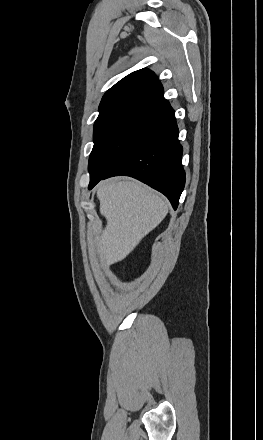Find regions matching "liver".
I'll return each mask as SVG.
<instances>
[{
	"label": "liver",
	"mask_w": 263,
	"mask_h": 440,
	"mask_svg": "<svg viewBox=\"0 0 263 440\" xmlns=\"http://www.w3.org/2000/svg\"><path fill=\"white\" fill-rule=\"evenodd\" d=\"M97 197L107 225L96 243L106 265L123 260L168 213L165 200L137 181H102Z\"/></svg>",
	"instance_id": "liver-1"
}]
</instances>
